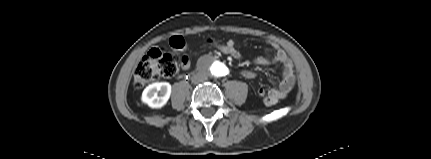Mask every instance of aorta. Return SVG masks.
Masks as SVG:
<instances>
[{"label":"aorta","instance_id":"1","mask_svg":"<svg viewBox=\"0 0 431 159\" xmlns=\"http://www.w3.org/2000/svg\"><path fill=\"white\" fill-rule=\"evenodd\" d=\"M206 71L214 77H221L227 73V68L223 63L213 61L207 64Z\"/></svg>","mask_w":431,"mask_h":159}]
</instances>
